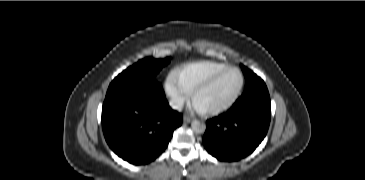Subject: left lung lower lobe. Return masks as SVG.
<instances>
[{"label":"left lung lower lobe","mask_w":365,"mask_h":180,"mask_svg":"<svg viewBox=\"0 0 365 180\" xmlns=\"http://www.w3.org/2000/svg\"><path fill=\"white\" fill-rule=\"evenodd\" d=\"M271 118L265 84L247 91L218 117L207 120L203 137L206 150L222 161H237L252 153L264 139Z\"/></svg>","instance_id":"left-lung-lower-lobe-1"}]
</instances>
